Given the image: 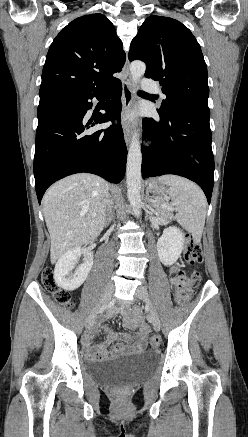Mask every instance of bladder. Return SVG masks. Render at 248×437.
I'll return each mask as SVG.
<instances>
[{"mask_svg": "<svg viewBox=\"0 0 248 437\" xmlns=\"http://www.w3.org/2000/svg\"><path fill=\"white\" fill-rule=\"evenodd\" d=\"M157 357L153 352L123 354L91 362L88 366V374L102 383H128L149 373L155 366Z\"/></svg>", "mask_w": 248, "mask_h": 437, "instance_id": "bladder-1", "label": "bladder"}]
</instances>
